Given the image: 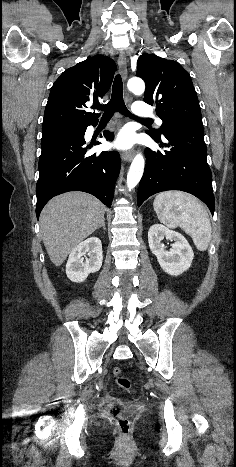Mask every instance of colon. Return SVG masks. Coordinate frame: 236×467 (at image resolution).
<instances>
[{
    "instance_id": "5ec220e1",
    "label": "colon",
    "mask_w": 236,
    "mask_h": 467,
    "mask_svg": "<svg viewBox=\"0 0 236 467\" xmlns=\"http://www.w3.org/2000/svg\"><path fill=\"white\" fill-rule=\"evenodd\" d=\"M112 375L115 378V381L118 384V386H120L126 391H134L131 382L122 375L121 368H113ZM109 414L112 417V419L116 422L123 441L127 442L129 440L132 428L130 421L121 415V408L118 405L111 406L109 409Z\"/></svg>"
}]
</instances>
